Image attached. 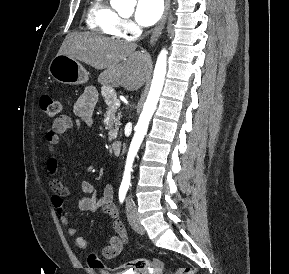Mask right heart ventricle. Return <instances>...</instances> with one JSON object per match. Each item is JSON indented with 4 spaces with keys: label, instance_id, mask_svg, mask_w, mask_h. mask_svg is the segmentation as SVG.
<instances>
[{
    "label": "right heart ventricle",
    "instance_id": "e07e8e85",
    "mask_svg": "<svg viewBox=\"0 0 289 274\" xmlns=\"http://www.w3.org/2000/svg\"><path fill=\"white\" fill-rule=\"evenodd\" d=\"M120 17L105 0H93L88 8L86 23L89 29L107 36H121Z\"/></svg>",
    "mask_w": 289,
    "mask_h": 274
}]
</instances>
